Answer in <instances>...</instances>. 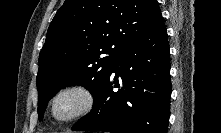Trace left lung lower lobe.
Listing matches in <instances>:
<instances>
[{
	"label": "left lung lower lobe",
	"mask_w": 221,
	"mask_h": 133,
	"mask_svg": "<svg viewBox=\"0 0 221 133\" xmlns=\"http://www.w3.org/2000/svg\"><path fill=\"white\" fill-rule=\"evenodd\" d=\"M167 32L162 17L120 52L94 97L93 109L72 130L167 133L171 96ZM119 78L121 79V89Z\"/></svg>",
	"instance_id": "left-lung-lower-lobe-1"
}]
</instances>
